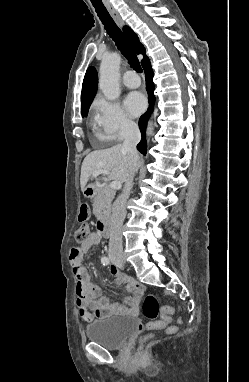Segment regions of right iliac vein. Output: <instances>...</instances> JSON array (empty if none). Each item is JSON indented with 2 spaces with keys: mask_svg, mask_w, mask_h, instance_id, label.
<instances>
[{
  "mask_svg": "<svg viewBox=\"0 0 249 382\" xmlns=\"http://www.w3.org/2000/svg\"><path fill=\"white\" fill-rule=\"evenodd\" d=\"M111 260L115 264H124L125 259L123 256H111Z\"/></svg>",
  "mask_w": 249,
  "mask_h": 382,
  "instance_id": "63e3f726",
  "label": "right iliac vein"
}]
</instances>
